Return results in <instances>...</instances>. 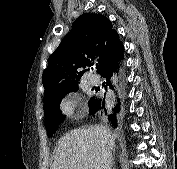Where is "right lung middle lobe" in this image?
<instances>
[{
	"mask_svg": "<svg viewBox=\"0 0 177 169\" xmlns=\"http://www.w3.org/2000/svg\"><path fill=\"white\" fill-rule=\"evenodd\" d=\"M78 88V86L73 87L66 92H64L58 99L51 101L50 103H46L44 105V111H45V126L48 133V137H51L53 133L57 130L58 125L63 121V116L60 111V101L63 98L65 94H67L70 91H75ZM91 100L88 102V105H91Z\"/></svg>",
	"mask_w": 177,
	"mask_h": 169,
	"instance_id": "dd1d6c3e",
	"label": "right lung middle lobe"
}]
</instances>
